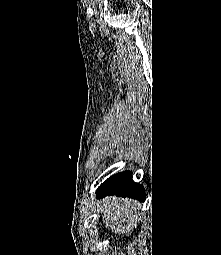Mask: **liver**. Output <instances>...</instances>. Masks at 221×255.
<instances>
[{"instance_id":"6515ba94","label":"liver","mask_w":221,"mask_h":255,"mask_svg":"<svg viewBox=\"0 0 221 255\" xmlns=\"http://www.w3.org/2000/svg\"><path fill=\"white\" fill-rule=\"evenodd\" d=\"M141 204L129 198L106 197L100 208L103 222L112 232L129 234L140 221Z\"/></svg>"}]
</instances>
